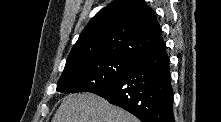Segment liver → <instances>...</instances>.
<instances>
[{"label": "liver", "mask_w": 221, "mask_h": 122, "mask_svg": "<svg viewBox=\"0 0 221 122\" xmlns=\"http://www.w3.org/2000/svg\"><path fill=\"white\" fill-rule=\"evenodd\" d=\"M52 122H138V119L104 98L87 92L65 96Z\"/></svg>", "instance_id": "liver-1"}]
</instances>
